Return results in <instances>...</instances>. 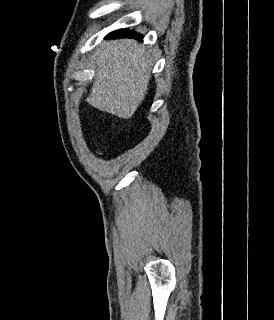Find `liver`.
<instances>
[{
	"label": "liver",
	"instance_id": "obj_1",
	"mask_svg": "<svg viewBox=\"0 0 274 320\" xmlns=\"http://www.w3.org/2000/svg\"><path fill=\"white\" fill-rule=\"evenodd\" d=\"M87 104L128 120L148 94L153 64L136 40L101 42Z\"/></svg>",
	"mask_w": 274,
	"mask_h": 320
}]
</instances>
